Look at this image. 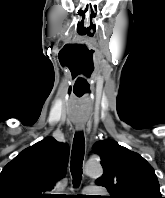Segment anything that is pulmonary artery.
Returning <instances> with one entry per match:
<instances>
[{
	"label": "pulmonary artery",
	"mask_w": 165,
	"mask_h": 198,
	"mask_svg": "<svg viewBox=\"0 0 165 198\" xmlns=\"http://www.w3.org/2000/svg\"><path fill=\"white\" fill-rule=\"evenodd\" d=\"M101 189L100 187H96V186H88L84 189L85 192L90 193V192H94L96 190Z\"/></svg>",
	"instance_id": "1"
}]
</instances>
